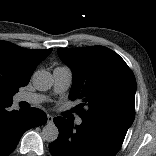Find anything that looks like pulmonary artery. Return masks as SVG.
Listing matches in <instances>:
<instances>
[{"instance_id": "obj_1", "label": "pulmonary artery", "mask_w": 156, "mask_h": 156, "mask_svg": "<svg viewBox=\"0 0 156 156\" xmlns=\"http://www.w3.org/2000/svg\"><path fill=\"white\" fill-rule=\"evenodd\" d=\"M72 83V72L68 67L58 66L53 70V89L59 94L67 91ZM46 97L32 92H24L18 95V101L37 104L45 101ZM76 124L82 123L81 118L76 119Z\"/></svg>"}]
</instances>
